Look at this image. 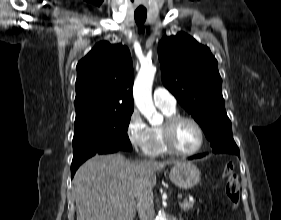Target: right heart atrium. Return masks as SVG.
<instances>
[{
  "instance_id": "right-heart-atrium-1",
  "label": "right heart atrium",
  "mask_w": 281,
  "mask_h": 220,
  "mask_svg": "<svg viewBox=\"0 0 281 220\" xmlns=\"http://www.w3.org/2000/svg\"><path fill=\"white\" fill-rule=\"evenodd\" d=\"M126 135L135 150L141 153L147 152L150 144V128L137 110H133L128 118Z\"/></svg>"
}]
</instances>
